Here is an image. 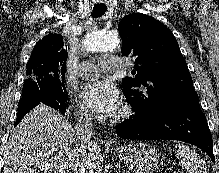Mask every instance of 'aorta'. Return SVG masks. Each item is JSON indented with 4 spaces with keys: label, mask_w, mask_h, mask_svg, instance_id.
<instances>
[{
    "label": "aorta",
    "mask_w": 219,
    "mask_h": 173,
    "mask_svg": "<svg viewBox=\"0 0 219 173\" xmlns=\"http://www.w3.org/2000/svg\"><path fill=\"white\" fill-rule=\"evenodd\" d=\"M84 45L90 52L115 51L120 48V39L113 34L93 30L87 34Z\"/></svg>",
    "instance_id": "aorta-1"
}]
</instances>
